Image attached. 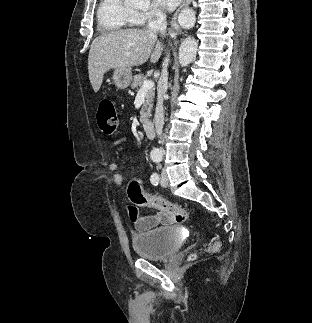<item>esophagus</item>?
Returning a JSON list of instances; mask_svg holds the SVG:
<instances>
[{
  "label": "esophagus",
  "mask_w": 312,
  "mask_h": 323,
  "mask_svg": "<svg viewBox=\"0 0 312 323\" xmlns=\"http://www.w3.org/2000/svg\"><path fill=\"white\" fill-rule=\"evenodd\" d=\"M190 3H191V0H183L181 5L177 8L176 12L172 16V18L170 20V31L169 32L173 35V37H176L181 32V28L179 27L178 22H177L178 15H179L180 11L182 9H184V7H188V5H190Z\"/></svg>",
  "instance_id": "obj_1"
}]
</instances>
